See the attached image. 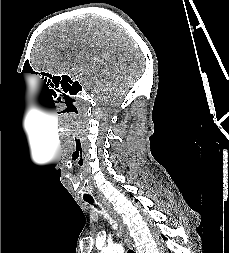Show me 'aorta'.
Wrapping results in <instances>:
<instances>
[{"instance_id":"obj_1","label":"aorta","mask_w":229,"mask_h":253,"mask_svg":"<svg viewBox=\"0 0 229 253\" xmlns=\"http://www.w3.org/2000/svg\"><path fill=\"white\" fill-rule=\"evenodd\" d=\"M101 253H124V248L121 244H114L103 248Z\"/></svg>"}]
</instances>
